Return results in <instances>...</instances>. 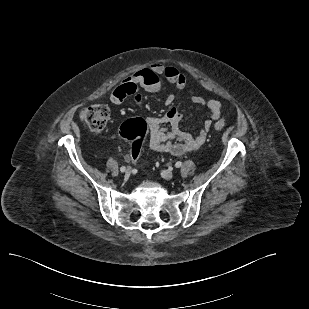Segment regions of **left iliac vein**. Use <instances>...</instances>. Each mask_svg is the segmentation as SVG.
<instances>
[{
	"label": "left iliac vein",
	"mask_w": 309,
	"mask_h": 309,
	"mask_svg": "<svg viewBox=\"0 0 309 309\" xmlns=\"http://www.w3.org/2000/svg\"><path fill=\"white\" fill-rule=\"evenodd\" d=\"M161 176L166 180H171L173 178V172L170 170H163Z\"/></svg>",
	"instance_id": "4c4485c4"
}]
</instances>
